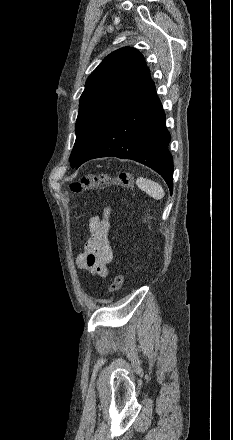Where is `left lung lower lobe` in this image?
<instances>
[{"mask_svg":"<svg viewBox=\"0 0 233 440\" xmlns=\"http://www.w3.org/2000/svg\"><path fill=\"white\" fill-rule=\"evenodd\" d=\"M170 140L165 114L154 82L150 79L115 117L84 162L109 156L135 160L159 173L172 193L173 160L168 151Z\"/></svg>","mask_w":233,"mask_h":440,"instance_id":"left-lung-lower-lobe-1","label":"left lung lower lobe"}]
</instances>
